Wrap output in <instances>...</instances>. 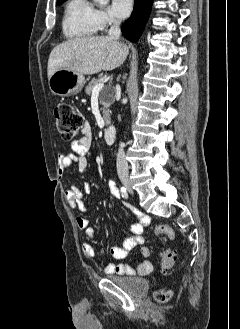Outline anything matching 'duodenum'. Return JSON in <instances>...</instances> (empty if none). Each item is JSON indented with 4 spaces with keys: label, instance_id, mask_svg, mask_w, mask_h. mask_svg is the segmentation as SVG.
<instances>
[{
    "label": "duodenum",
    "instance_id": "obj_1",
    "mask_svg": "<svg viewBox=\"0 0 240 329\" xmlns=\"http://www.w3.org/2000/svg\"><path fill=\"white\" fill-rule=\"evenodd\" d=\"M115 127L113 125H109L105 130H104V140L108 144H112L115 140Z\"/></svg>",
    "mask_w": 240,
    "mask_h": 329
}]
</instances>
